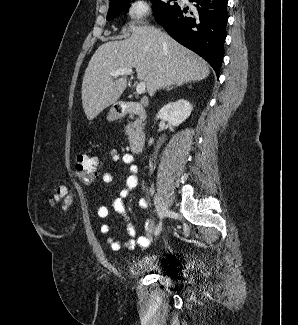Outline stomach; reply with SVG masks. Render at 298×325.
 Wrapping results in <instances>:
<instances>
[{
  "label": "stomach",
  "mask_w": 298,
  "mask_h": 325,
  "mask_svg": "<svg viewBox=\"0 0 298 325\" xmlns=\"http://www.w3.org/2000/svg\"><path fill=\"white\" fill-rule=\"evenodd\" d=\"M116 118H119L118 112H116V110H114V108H111V110L107 116V120H116Z\"/></svg>",
  "instance_id": "obj_1"
}]
</instances>
